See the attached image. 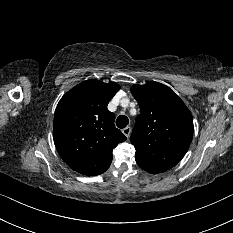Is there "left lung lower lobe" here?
Wrapping results in <instances>:
<instances>
[{"label":"left lung lower lobe","mask_w":233,"mask_h":233,"mask_svg":"<svg viewBox=\"0 0 233 233\" xmlns=\"http://www.w3.org/2000/svg\"><path fill=\"white\" fill-rule=\"evenodd\" d=\"M137 164L145 171L149 172V173H161L166 171L167 169L162 168L160 166L151 164L149 162H146L140 158L135 157Z\"/></svg>","instance_id":"left-lung-lower-lobe-1"}]
</instances>
